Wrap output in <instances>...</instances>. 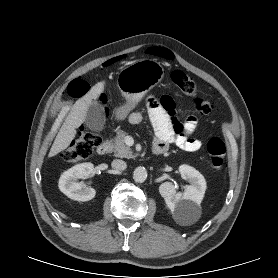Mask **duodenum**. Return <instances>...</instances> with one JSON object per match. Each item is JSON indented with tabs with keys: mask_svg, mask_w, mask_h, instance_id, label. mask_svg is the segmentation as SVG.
Wrapping results in <instances>:
<instances>
[{
	"mask_svg": "<svg viewBox=\"0 0 278 278\" xmlns=\"http://www.w3.org/2000/svg\"><path fill=\"white\" fill-rule=\"evenodd\" d=\"M111 149V140L107 139L104 142H102L98 148H97V153L99 155H105L107 154ZM164 151L160 147H153V153L156 155L162 154Z\"/></svg>",
	"mask_w": 278,
	"mask_h": 278,
	"instance_id": "1",
	"label": "duodenum"
}]
</instances>
